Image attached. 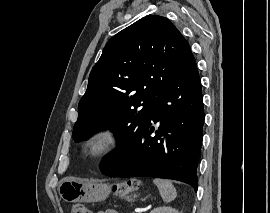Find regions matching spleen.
Here are the masks:
<instances>
[{"label":"spleen","instance_id":"spleen-1","mask_svg":"<svg viewBox=\"0 0 270 213\" xmlns=\"http://www.w3.org/2000/svg\"><path fill=\"white\" fill-rule=\"evenodd\" d=\"M153 183L159 189L160 195L164 202L169 203L176 198L177 192L171 181L164 179H154Z\"/></svg>","mask_w":270,"mask_h":213}]
</instances>
